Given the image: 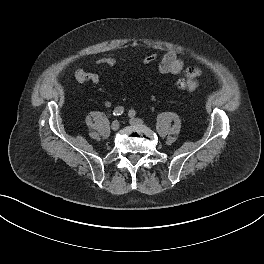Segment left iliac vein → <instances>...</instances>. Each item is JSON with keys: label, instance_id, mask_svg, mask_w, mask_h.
<instances>
[{"label": "left iliac vein", "instance_id": "4c4485c4", "mask_svg": "<svg viewBox=\"0 0 264 264\" xmlns=\"http://www.w3.org/2000/svg\"><path fill=\"white\" fill-rule=\"evenodd\" d=\"M130 124L131 125H134V126H143V121L141 119H138V118H131L130 119Z\"/></svg>", "mask_w": 264, "mask_h": 264}]
</instances>
